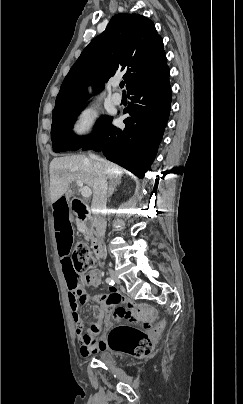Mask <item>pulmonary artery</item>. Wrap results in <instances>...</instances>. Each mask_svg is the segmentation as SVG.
Returning a JSON list of instances; mask_svg holds the SVG:
<instances>
[{
  "label": "pulmonary artery",
  "mask_w": 243,
  "mask_h": 404,
  "mask_svg": "<svg viewBox=\"0 0 243 404\" xmlns=\"http://www.w3.org/2000/svg\"><path fill=\"white\" fill-rule=\"evenodd\" d=\"M119 84H120V78L119 77H114L111 80V86L114 89V92L112 94V101L116 105H119L123 100L122 94L118 90Z\"/></svg>",
  "instance_id": "obj_1"
}]
</instances>
